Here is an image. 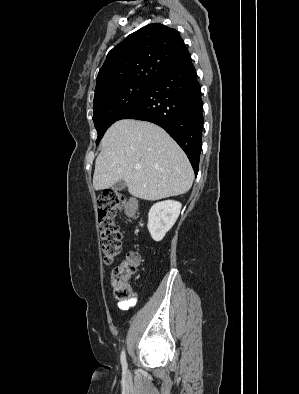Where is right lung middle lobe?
Here are the masks:
<instances>
[{
    "instance_id": "obj_1",
    "label": "right lung middle lobe",
    "mask_w": 299,
    "mask_h": 394,
    "mask_svg": "<svg viewBox=\"0 0 299 394\" xmlns=\"http://www.w3.org/2000/svg\"><path fill=\"white\" fill-rule=\"evenodd\" d=\"M151 83L133 82L94 95L93 121L98 132L96 144L99 143L105 131L130 109Z\"/></svg>"
}]
</instances>
